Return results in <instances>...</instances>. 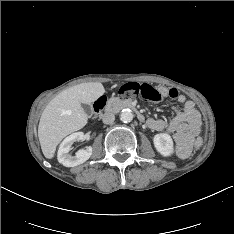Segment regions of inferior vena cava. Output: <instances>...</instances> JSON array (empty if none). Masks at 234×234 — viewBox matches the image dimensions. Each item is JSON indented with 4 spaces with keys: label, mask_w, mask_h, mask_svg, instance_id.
Masks as SVG:
<instances>
[{
    "label": "inferior vena cava",
    "mask_w": 234,
    "mask_h": 234,
    "mask_svg": "<svg viewBox=\"0 0 234 234\" xmlns=\"http://www.w3.org/2000/svg\"><path fill=\"white\" fill-rule=\"evenodd\" d=\"M115 120V116L113 113H105L102 116V121L105 124H112Z\"/></svg>",
    "instance_id": "inferior-vena-cava-1"
}]
</instances>
